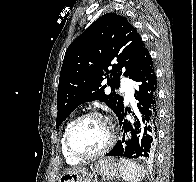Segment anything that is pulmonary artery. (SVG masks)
Returning <instances> with one entry per match:
<instances>
[{
    "mask_svg": "<svg viewBox=\"0 0 196 182\" xmlns=\"http://www.w3.org/2000/svg\"><path fill=\"white\" fill-rule=\"evenodd\" d=\"M128 82H126L127 84ZM123 91L125 93V97L127 100H132L133 99V90L129 87H123Z\"/></svg>",
    "mask_w": 196,
    "mask_h": 182,
    "instance_id": "e3ab8cb5",
    "label": "pulmonary artery"
}]
</instances>
